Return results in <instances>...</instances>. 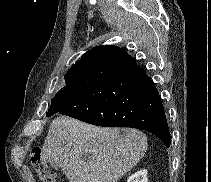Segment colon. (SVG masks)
<instances>
[{
  "label": "colon",
  "mask_w": 211,
  "mask_h": 182,
  "mask_svg": "<svg viewBox=\"0 0 211 182\" xmlns=\"http://www.w3.org/2000/svg\"><path fill=\"white\" fill-rule=\"evenodd\" d=\"M30 158L32 165L35 171L39 174L42 182H56V175L46 165L41 148H33L30 153Z\"/></svg>",
  "instance_id": "1"
}]
</instances>
